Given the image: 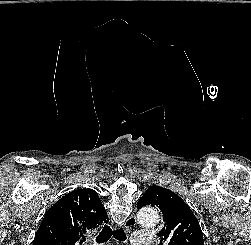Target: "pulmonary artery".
<instances>
[{
    "mask_svg": "<svg viewBox=\"0 0 251 245\" xmlns=\"http://www.w3.org/2000/svg\"><path fill=\"white\" fill-rule=\"evenodd\" d=\"M132 243L133 245H152L153 238L147 233L137 231L132 233Z\"/></svg>",
    "mask_w": 251,
    "mask_h": 245,
    "instance_id": "1",
    "label": "pulmonary artery"
}]
</instances>
